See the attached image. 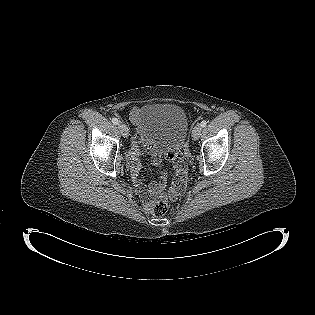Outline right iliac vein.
Here are the masks:
<instances>
[{
    "label": "right iliac vein",
    "mask_w": 315,
    "mask_h": 315,
    "mask_svg": "<svg viewBox=\"0 0 315 315\" xmlns=\"http://www.w3.org/2000/svg\"><path fill=\"white\" fill-rule=\"evenodd\" d=\"M118 129L121 132V134L123 135V137H127L129 134V129L128 127L124 124V123H118Z\"/></svg>",
    "instance_id": "1"
}]
</instances>
